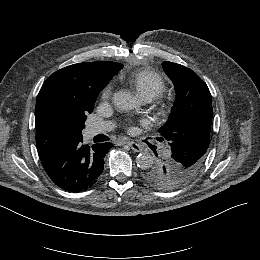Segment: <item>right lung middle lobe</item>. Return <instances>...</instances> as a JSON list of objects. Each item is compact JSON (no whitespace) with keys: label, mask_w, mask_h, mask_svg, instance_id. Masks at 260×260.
<instances>
[{"label":"right lung middle lobe","mask_w":260,"mask_h":260,"mask_svg":"<svg viewBox=\"0 0 260 260\" xmlns=\"http://www.w3.org/2000/svg\"><path fill=\"white\" fill-rule=\"evenodd\" d=\"M99 91H86L71 101L61 113L62 122L67 127H75L82 131L87 114L94 109Z\"/></svg>","instance_id":"obj_1"}]
</instances>
